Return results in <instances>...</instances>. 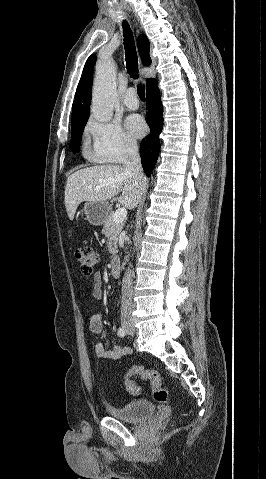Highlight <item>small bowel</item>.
<instances>
[{
	"mask_svg": "<svg viewBox=\"0 0 266 479\" xmlns=\"http://www.w3.org/2000/svg\"><path fill=\"white\" fill-rule=\"evenodd\" d=\"M93 296L96 299H100L102 297V279L99 273L95 274L93 278ZM89 327L92 333L96 335H100L103 332V315L100 312L95 313L90 318ZM95 354L98 358L103 360H110L116 361L121 358L127 357L131 354V349L127 346H121L114 344L111 346L109 350L105 349L102 342H97L95 345Z\"/></svg>",
	"mask_w": 266,
	"mask_h": 479,
	"instance_id": "obj_1",
	"label": "small bowel"
}]
</instances>
